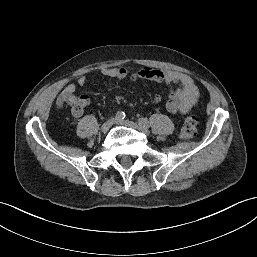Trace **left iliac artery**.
I'll return each instance as SVG.
<instances>
[{"label": "left iliac artery", "instance_id": "obj_1", "mask_svg": "<svg viewBox=\"0 0 257 257\" xmlns=\"http://www.w3.org/2000/svg\"><path fill=\"white\" fill-rule=\"evenodd\" d=\"M139 124L142 126V127H146L148 128L149 127V121L145 118H140L139 119Z\"/></svg>", "mask_w": 257, "mask_h": 257}]
</instances>
